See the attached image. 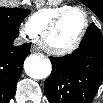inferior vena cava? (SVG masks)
Here are the masks:
<instances>
[{
  "instance_id": "obj_1",
  "label": "inferior vena cava",
  "mask_w": 103,
  "mask_h": 103,
  "mask_svg": "<svg viewBox=\"0 0 103 103\" xmlns=\"http://www.w3.org/2000/svg\"><path fill=\"white\" fill-rule=\"evenodd\" d=\"M15 44H16V45H20V44H22L21 39H20V38L17 39L16 42H15Z\"/></svg>"
}]
</instances>
